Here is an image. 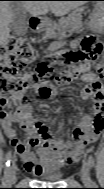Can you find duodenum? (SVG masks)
<instances>
[{
    "mask_svg": "<svg viewBox=\"0 0 104 189\" xmlns=\"http://www.w3.org/2000/svg\"><path fill=\"white\" fill-rule=\"evenodd\" d=\"M46 24V19H40L36 17H32L29 21L30 28L34 33H41L44 30Z\"/></svg>",
    "mask_w": 104,
    "mask_h": 189,
    "instance_id": "410a0bca",
    "label": "duodenum"
}]
</instances>
